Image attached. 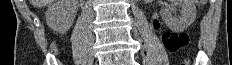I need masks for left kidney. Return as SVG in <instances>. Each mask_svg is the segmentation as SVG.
Listing matches in <instances>:
<instances>
[{
	"label": "left kidney",
	"mask_w": 232,
	"mask_h": 65,
	"mask_svg": "<svg viewBox=\"0 0 232 65\" xmlns=\"http://www.w3.org/2000/svg\"><path fill=\"white\" fill-rule=\"evenodd\" d=\"M182 10L181 16L175 17L172 15V11L168 8H163L160 12L164 23L172 31H184L187 29L196 18V7L194 0H178Z\"/></svg>",
	"instance_id": "1"
}]
</instances>
